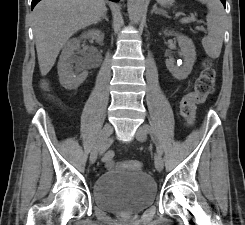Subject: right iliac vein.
Instances as JSON below:
<instances>
[{"label": "right iliac vein", "mask_w": 245, "mask_h": 225, "mask_svg": "<svg viewBox=\"0 0 245 225\" xmlns=\"http://www.w3.org/2000/svg\"><path fill=\"white\" fill-rule=\"evenodd\" d=\"M113 133V128L111 125H105L103 129L100 132V135L98 137L97 142L95 143L94 147L91 150L90 153V162L94 163L98 157V155L101 154V152L104 150V147L110 140V136Z\"/></svg>", "instance_id": "right-iliac-vein-1"}]
</instances>
